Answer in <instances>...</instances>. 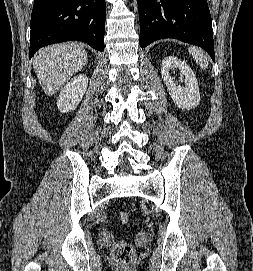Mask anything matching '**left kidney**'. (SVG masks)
I'll use <instances>...</instances> for the list:
<instances>
[{
	"label": "left kidney",
	"mask_w": 253,
	"mask_h": 271,
	"mask_svg": "<svg viewBox=\"0 0 253 271\" xmlns=\"http://www.w3.org/2000/svg\"><path fill=\"white\" fill-rule=\"evenodd\" d=\"M178 69L184 77L185 86L178 85L170 75V70ZM162 79L175 105L182 110H190L199 105L200 93L197 79L192 69L181 59L169 56L162 60Z\"/></svg>",
	"instance_id": "obj_1"
}]
</instances>
